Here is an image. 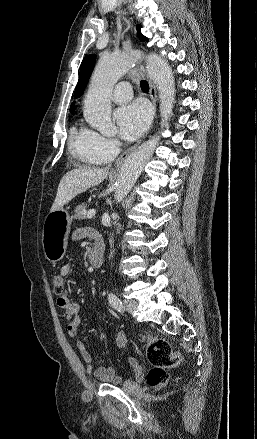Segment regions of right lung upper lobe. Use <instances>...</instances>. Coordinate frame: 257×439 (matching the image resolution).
Listing matches in <instances>:
<instances>
[{"label":"right lung upper lobe","mask_w":257,"mask_h":439,"mask_svg":"<svg viewBox=\"0 0 257 439\" xmlns=\"http://www.w3.org/2000/svg\"><path fill=\"white\" fill-rule=\"evenodd\" d=\"M74 105H75L74 103L71 104V106H70V112H74V110H75V106H74Z\"/></svg>","instance_id":"obj_1"}]
</instances>
